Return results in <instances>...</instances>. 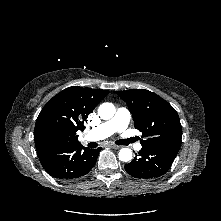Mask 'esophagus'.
Listing matches in <instances>:
<instances>
[{"mask_svg":"<svg viewBox=\"0 0 221 221\" xmlns=\"http://www.w3.org/2000/svg\"><path fill=\"white\" fill-rule=\"evenodd\" d=\"M109 147H111V148H113V149H119L121 146H119V145H116V144H109L108 145Z\"/></svg>","mask_w":221,"mask_h":221,"instance_id":"1","label":"esophagus"}]
</instances>
